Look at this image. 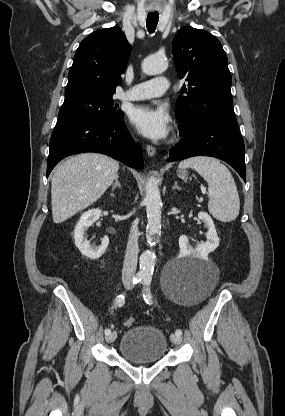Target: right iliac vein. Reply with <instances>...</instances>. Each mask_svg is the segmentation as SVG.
Returning a JSON list of instances; mask_svg holds the SVG:
<instances>
[{
    "mask_svg": "<svg viewBox=\"0 0 285 416\" xmlns=\"http://www.w3.org/2000/svg\"><path fill=\"white\" fill-rule=\"evenodd\" d=\"M130 283H131V279L129 277L123 278V284L125 286H128ZM116 338H117V333H116V331H113L109 335L106 336V342L107 343H112V342H114V340Z\"/></svg>",
    "mask_w": 285,
    "mask_h": 416,
    "instance_id": "right-iliac-vein-1",
    "label": "right iliac vein"
}]
</instances>
